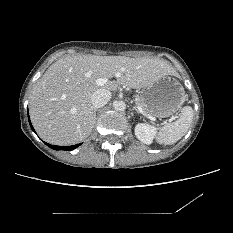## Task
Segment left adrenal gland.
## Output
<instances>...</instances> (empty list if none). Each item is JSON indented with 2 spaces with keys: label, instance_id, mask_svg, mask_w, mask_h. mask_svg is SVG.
Listing matches in <instances>:
<instances>
[{
  "label": "left adrenal gland",
  "instance_id": "1",
  "mask_svg": "<svg viewBox=\"0 0 233 233\" xmlns=\"http://www.w3.org/2000/svg\"><path fill=\"white\" fill-rule=\"evenodd\" d=\"M132 110H135L138 114L140 113L135 106L132 108Z\"/></svg>",
  "mask_w": 233,
  "mask_h": 233
}]
</instances>
